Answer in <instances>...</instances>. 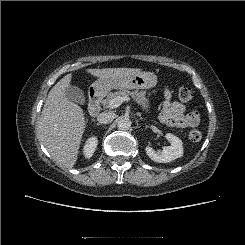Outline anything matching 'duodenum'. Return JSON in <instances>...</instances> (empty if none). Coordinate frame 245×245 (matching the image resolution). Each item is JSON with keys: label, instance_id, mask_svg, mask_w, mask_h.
Segmentation results:
<instances>
[{"label": "duodenum", "instance_id": "obj_1", "mask_svg": "<svg viewBox=\"0 0 245 245\" xmlns=\"http://www.w3.org/2000/svg\"><path fill=\"white\" fill-rule=\"evenodd\" d=\"M101 93L99 91L93 90L89 95V105L88 112L91 116L95 117L98 115L101 106Z\"/></svg>", "mask_w": 245, "mask_h": 245}]
</instances>
